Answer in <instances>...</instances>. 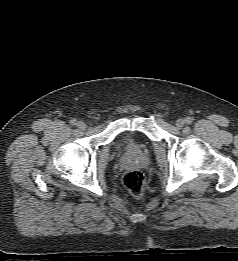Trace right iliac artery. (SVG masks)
I'll list each match as a JSON object with an SVG mask.
<instances>
[{
  "label": "right iliac artery",
  "mask_w": 238,
  "mask_h": 261,
  "mask_svg": "<svg viewBox=\"0 0 238 261\" xmlns=\"http://www.w3.org/2000/svg\"><path fill=\"white\" fill-rule=\"evenodd\" d=\"M70 124L73 125V126L77 125V120L76 119H71L70 120Z\"/></svg>",
  "instance_id": "right-iliac-artery-1"
}]
</instances>
